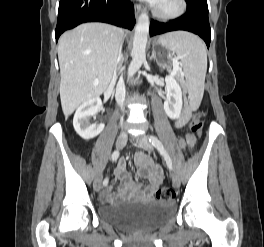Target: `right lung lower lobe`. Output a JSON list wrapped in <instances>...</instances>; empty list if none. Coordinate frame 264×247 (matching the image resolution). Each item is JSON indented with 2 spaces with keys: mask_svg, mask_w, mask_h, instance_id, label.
<instances>
[{
  "mask_svg": "<svg viewBox=\"0 0 264 247\" xmlns=\"http://www.w3.org/2000/svg\"><path fill=\"white\" fill-rule=\"evenodd\" d=\"M85 22H105L131 30L134 7L129 0H60L56 41L65 30Z\"/></svg>",
  "mask_w": 264,
  "mask_h": 247,
  "instance_id": "1",
  "label": "right lung lower lobe"
}]
</instances>
